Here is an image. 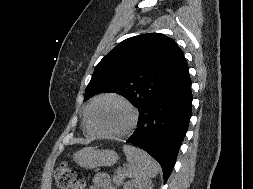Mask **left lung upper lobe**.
I'll return each instance as SVG.
<instances>
[{"label":"left lung upper lobe","mask_w":253,"mask_h":189,"mask_svg":"<svg viewBox=\"0 0 253 189\" xmlns=\"http://www.w3.org/2000/svg\"><path fill=\"white\" fill-rule=\"evenodd\" d=\"M185 64L184 54L172 38L160 33L128 38L96 66L84 100L102 92H115L140 110Z\"/></svg>","instance_id":"5c2ea615"}]
</instances>
